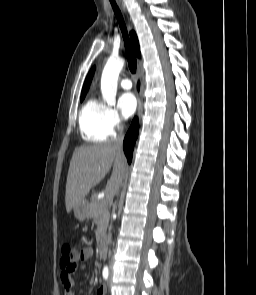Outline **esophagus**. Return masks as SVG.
<instances>
[{"instance_id": "1", "label": "esophagus", "mask_w": 256, "mask_h": 295, "mask_svg": "<svg viewBox=\"0 0 256 295\" xmlns=\"http://www.w3.org/2000/svg\"><path fill=\"white\" fill-rule=\"evenodd\" d=\"M141 110H142V99H141V97H139L137 114H139L141 112Z\"/></svg>"}]
</instances>
